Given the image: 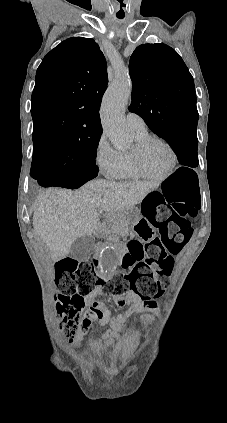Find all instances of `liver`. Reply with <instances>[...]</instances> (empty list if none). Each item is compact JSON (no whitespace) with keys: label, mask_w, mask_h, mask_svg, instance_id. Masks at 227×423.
<instances>
[{"label":"liver","mask_w":227,"mask_h":423,"mask_svg":"<svg viewBox=\"0 0 227 423\" xmlns=\"http://www.w3.org/2000/svg\"><path fill=\"white\" fill-rule=\"evenodd\" d=\"M156 182L114 184L92 180L79 190L49 188L37 196L33 213V229L48 245L53 261L66 257L78 237L108 231L100 223V210L116 215L117 211L141 204L145 196L156 190Z\"/></svg>","instance_id":"obj_1"}]
</instances>
